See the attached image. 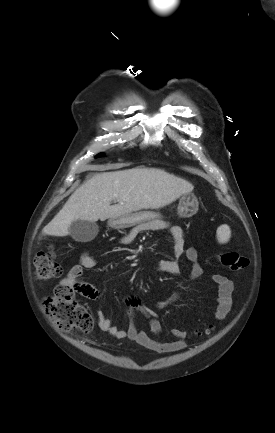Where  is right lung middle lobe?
Here are the masks:
<instances>
[{"mask_svg": "<svg viewBox=\"0 0 275 433\" xmlns=\"http://www.w3.org/2000/svg\"><path fill=\"white\" fill-rule=\"evenodd\" d=\"M103 154H100L98 157L102 156Z\"/></svg>", "mask_w": 275, "mask_h": 433, "instance_id": "1", "label": "right lung middle lobe"}]
</instances>
